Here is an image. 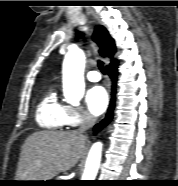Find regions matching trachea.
<instances>
[{"label": "trachea", "mask_w": 178, "mask_h": 186, "mask_svg": "<svg viewBox=\"0 0 178 186\" xmlns=\"http://www.w3.org/2000/svg\"><path fill=\"white\" fill-rule=\"evenodd\" d=\"M98 67H99L100 71L104 74L105 73L104 63L100 60H98Z\"/></svg>", "instance_id": "trachea-1"}]
</instances>
